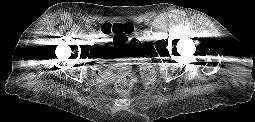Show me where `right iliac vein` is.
<instances>
[{"mask_svg":"<svg viewBox=\"0 0 255 122\" xmlns=\"http://www.w3.org/2000/svg\"><path fill=\"white\" fill-rule=\"evenodd\" d=\"M92 36H93L94 38H98V35H96V34H93Z\"/></svg>","mask_w":255,"mask_h":122,"instance_id":"1","label":"right iliac vein"}]
</instances>
